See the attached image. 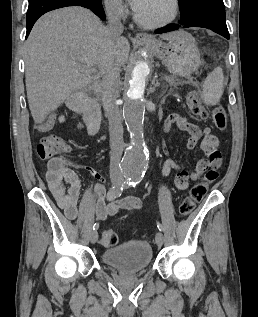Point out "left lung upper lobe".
<instances>
[{"instance_id": "obj_1", "label": "left lung upper lobe", "mask_w": 258, "mask_h": 317, "mask_svg": "<svg viewBox=\"0 0 258 317\" xmlns=\"http://www.w3.org/2000/svg\"><path fill=\"white\" fill-rule=\"evenodd\" d=\"M180 5L181 20L189 18L195 10V7L205 0H178ZM222 1L223 0H219Z\"/></svg>"}]
</instances>
